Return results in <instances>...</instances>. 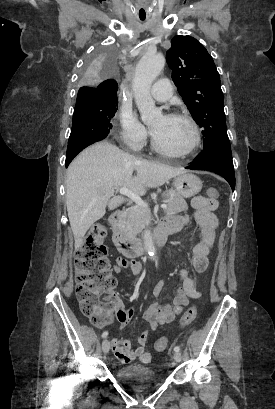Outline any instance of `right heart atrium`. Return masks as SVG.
I'll list each match as a JSON object with an SVG mask.
<instances>
[{
	"label": "right heart atrium",
	"mask_w": 275,
	"mask_h": 409,
	"mask_svg": "<svg viewBox=\"0 0 275 409\" xmlns=\"http://www.w3.org/2000/svg\"><path fill=\"white\" fill-rule=\"evenodd\" d=\"M115 117L118 124L116 136L118 142L127 143L128 149H139L147 138L145 126L140 122L131 108L126 105L120 106Z\"/></svg>",
	"instance_id": "obj_1"
}]
</instances>
